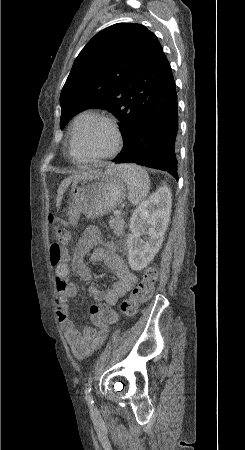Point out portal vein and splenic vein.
<instances>
[{
	"instance_id": "1",
	"label": "portal vein and splenic vein",
	"mask_w": 245,
	"mask_h": 450,
	"mask_svg": "<svg viewBox=\"0 0 245 450\" xmlns=\"http://www.w3.org/2000/svg\"><path fill=\"white\" fill-rule=\"evenodd\" d=\"M120 214H122V212H121V211H118V212L116 213V215H120Z\"/></svg>"
}]
</instances>
